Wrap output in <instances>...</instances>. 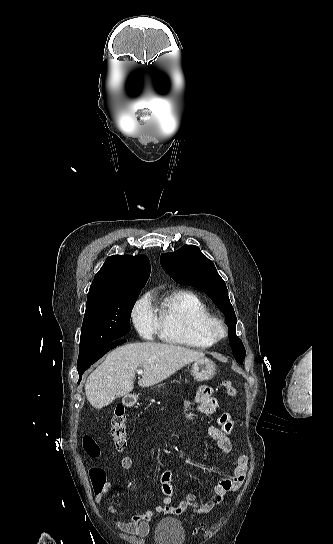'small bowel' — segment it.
<instances>
[{
    "mask_svg": "<svg viewBox=\"0 0 333 544\" xmlns=\"http://www.w3.org/2000/svg\"><path fill=\"white\" fill-rule=\"evenodd\" d=\"M219 401L214 397L213 390L207 386L198 388L193 403H187L184 408V416L187 419H197L202 416H209L218 411ZM233 420L230 414L224 413L220 416L217 426H210L207 430L209 438L224 453L229 454L233 450L230 434L233 430ZM123 470L129 471L133 466L130 456H124L120 461ZM248 457L244 454L238 456L233 473L221 479L214 487L213 495L205 502H199L195 494L188 493L178 504H173L174 489L172 486V473L169 470L162 472L160 476L161 490L164 495L162 505L153 509H147L141 514L126 517L123 511L117 506L107 503V512L119 518L116 525L119 529L128 534L139 537L145 536L150 528V522L155 514L180 515L187 509H192L196 514L209 513L219 505L224 497L242 486L246 479ZM111 490V484L106 482L103 488L95 492L96 503H101L103 498Z\"/></svg>",
    "mask_w": 333,
    "mask_h": 544,
    "instance_id": "obj_1",
    "label": "small bowel"
}]
</instances>
